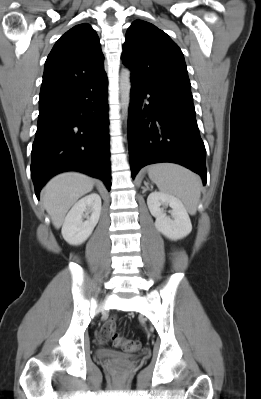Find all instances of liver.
Here are the masks:
<instances>
[{
  "instance_id": "6515ba94",
  "label": "liver",
  "mask_w": 261,
  "mask_h": 399,
  "mask_svg": "<svg viewBox=\"0 0 261 399\" xmlns=\"http://www.w3.org/2000/svg\"><path fill=\"white\" fill-rule=\"evenodd\" d=\"M94 180L81 173L69 172L51 179L42 190V202L55 228H60L71 206L89 193Z\"/></svg>"
}]
</instances>
